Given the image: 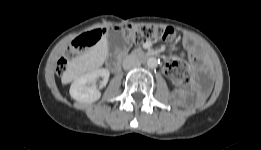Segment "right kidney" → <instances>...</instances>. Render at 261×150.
I'll use <instances>...</instances> for the list:
<instances>
[{
  "label": "right kidney",
  "mask_w": 261,
  "mask_h": 150,
  "mask_svg": "<svg viewBox=\"0 0 261 150\" xmlns=\"http://www.w3.org/2000/svg\"><path fill=\"white\" fill-rule=\"evenodd\" d=\"M109 71L107 69H95L89 71L74 80L70 87V95L73 99L83 103H92L101 97V93L96 86V82L102 78L99 87L107 84L109 79Z\"/></svg>",
  "instance_id": "ca27d5eb"
}]
</instances>
